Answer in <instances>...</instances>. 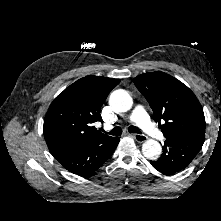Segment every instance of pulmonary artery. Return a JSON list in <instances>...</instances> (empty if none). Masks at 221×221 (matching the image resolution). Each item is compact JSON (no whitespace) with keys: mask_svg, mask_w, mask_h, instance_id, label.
Segmentation results:
<instances>
[{"mask_svg":"<svg viewBox=\"0 0 221 221\" xmlns=\"http://www.w3.org/2000/svg\"><path fill=\"white\" fill-rule=\"evenodd\" d=\"M131 120L136 123L146 134L158 140L163 137V133L150 120L148 114L142 106H136L133 110Z\"/></svg>","mask_w":221,"mask_h":221,"instance_id":"pulmonary-artery-1","label":"pulmonary artery"}]
</instances>
